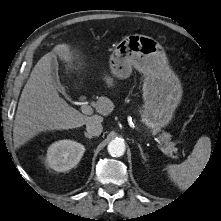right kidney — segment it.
Masks as SVG:
<instances>
[{
  "label": "right kidney",
  "instance_id": "right-kidney-1",
  "mask_svg": "<svg viewBox=\"0 0 221 221\" xmlns=\"http://www.w3.org/2000/svg\"><path fill=\"white\" fill-rule=\"evenodd\" d=\"M85 152L82 144L72 140H60L50 145L46 162L57 172H64L75 167Z\"/></svg>",
  "mask_w": 221,
  "mask_h": 221
}]
</instances>
